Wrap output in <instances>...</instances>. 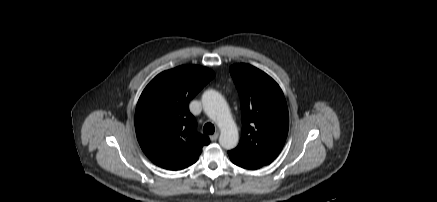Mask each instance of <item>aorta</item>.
Instances as JSON below:
<instances>
[{
  "label": "aorta",
  "instance_id": "obj_1",
  "mask_svg": "<svg viewBox=\"0 0 437 202\" xmlns=\"http://www.w3.org/2000/svg\"><path fill=\"white\" fill-rule=\"evenodd\" d=\"M202 104L205 113L221 131L220 145L227 150L235 148L238 144V130L224 97L215 90H207L202 96Z\"/></svg>",
  "mask_w": 437,
  "mask_h": 202
}]
</instances>
